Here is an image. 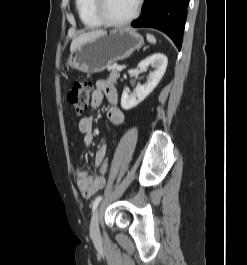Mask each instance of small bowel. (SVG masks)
<instances>
[{"label": "small bowel", "mask_w": 247, "mask_h": 265, "mask_svg": "<svg viewBox=\"0 0 247 265\" xmlns=\"http://www.w3.org/2000/svg\"><path fill=\"white\" fill-rule=\"evenodd\" d=\"M104 98H106L112 105L107 114L109 121L114 125L123 124L125 121V115L123 111L117 107L118 96L116 89L108 82L98 81L92 94L91 106L93 108L99 107L102 104ZM92 127V116H85L79 121V130L83 134V145L86 148L90 147L94 141ZM106 152L107 144L104 142L97 150L95 155V165L97 167H99L102 160L105 158ZM76 177L77 187L84 198L93 196L105 185V180H102L99 177H93L87 171L82 169L77 171Z\"/></svg>", "instance_id": "small-bowel-1"}]
</instances>
